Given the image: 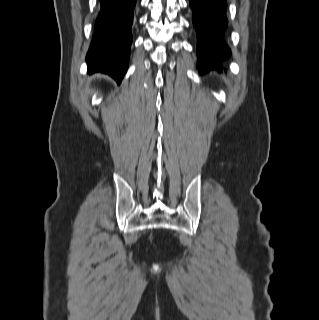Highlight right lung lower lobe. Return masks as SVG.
Returning a JSON list of instances; mask_svg holds the SVG:
<instances>
[{
    "label": "right lung lower lobe",
    "instance_id": "right-lung-lower-lobe-1",
    "mask_svg": "<svg viewBox=\"0 0 319 320\" xmlns=\"http://www.w3.org/2000/svg\"><path fill=\"white\" fill-rule=\"evenodd\" d=\"M95 33L86 56L88 71L110 75L118 83L127 71L136 0H99Z\"/></svg>",
    "mask_w": 319,
    "mask_h": 320
}]
</instances>
